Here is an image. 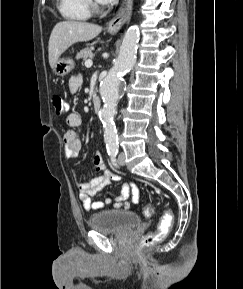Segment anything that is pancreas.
Masks as SVG:
<instances>
[{"instance_id":"pancreas-1","label":"pancreas","mask_w":243,"mask_h":289,"mask_svg":"<svg viewBox=\"0 0 243 289\" xmlns=\"http://www.w3.org/2000/svg\"><path fill=\"white\" fill-rule=\"evenodd\" d=\"M93 57L92 53V48L91 47H86L82 49L79 53L76 55V59H83V60H88Z\"/></svg>"}]
</instances>
